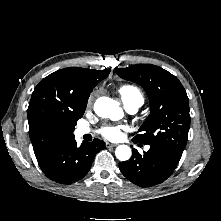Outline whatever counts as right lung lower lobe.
I'll return each mask as SVG.
<instances>
[{
	"label": "right lung lower lobe",
	"mask_w": 221,
	"mask_h": 221,
	"mask_svg": "<svg viewBox=\"0 0 221 221\" xmlns=\"http://www.w3.org/2000/svg\"><path fill=\"white\" fill-rule=\"evenodd\" d=\"M104 148V141L99 139H94L92 143L84 142L78 147L72 137L39 159L38 163L49 179L61 184H71L87 174L95 155Z\"/></svg>",
	"instance_id": "98d812e1"
}]
</instances>
